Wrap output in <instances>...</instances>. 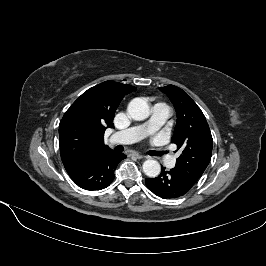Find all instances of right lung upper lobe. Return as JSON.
Listing matches in <instances>:
<instances>
[{
	"label": "right lung upper lobe",
	"mask_w": 266,
	"mask_h": 266,
	"mask_svg": "<svg viewBox=\"0 0 266 266\" xmlns=\"http://www.w3.org/2000/svg\"><path fill=\"white\" fill-rule=\"evenodd\" d=\"M134 90L128 84L105 81L88 89L70 106L59 125L60 153L66 171L111 150L104 145V132L112 127L123 97Z\"/></svg>",
	"instance_id": "cb5924a9"
}]
</instances>
